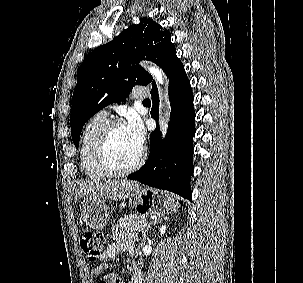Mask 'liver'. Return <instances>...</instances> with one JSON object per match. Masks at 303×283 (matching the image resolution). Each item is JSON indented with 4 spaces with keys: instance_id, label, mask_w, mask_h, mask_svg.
<instances>
[{
    "instance_id": "liver-1",
    "label": "liver",
    "mask_w": 303,
    "mask_h": 283,
    "mask_svg": "<svg viewBox=\"0 0 303 283\" xmlns=\"http://www.w3.org/2000/svg\"><path fill=\"white\" fill-rule=\"evenodd\" d=\"M138 188L137 182L127 179L105 182L83 180L78 183L75 201L81 198L123 200Z\"/></svg>"
}]
</instances>
